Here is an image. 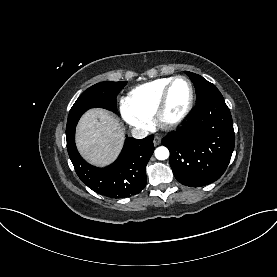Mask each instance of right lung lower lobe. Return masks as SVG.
<instances>
[{
	"label": "right lung lower lobe",
	"mask_w": 277,
	"mask_h": 277,
	"mask_svg": "<svg viewBox=\"0 0 277 277\" xmlns=\"http://www.w3.org/2000/svg\"><path fill=\"white\" fill-rule=\"evenodd\" d=\"M153 135L138 140L127 137L118 159L108 167L88 164L75 145V128L66 133L67 150L78 177L98 194L124 198L140 193L146 186V165L153 154Z\"/></svg>",
	"instance_id": "1"
}]
</instances>
